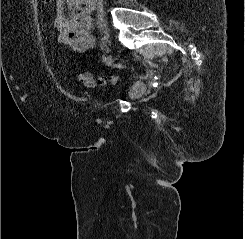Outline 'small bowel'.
<instances>
[{
  "instance_id": "1",
  "label": "small bowel",
  "mask_w": 245,
  "mask_h": 239,
  "mask_svg": "<svg viewBox=\"0 0 245 239\" xmlns=\"http://www.w3.org/2000/svg\"><path fill=\"white\" fill-rule=\"evenodd\" d=\"M98 0H56L54 26L58 42L75 52H85L95 46L92 35V13Z\"/></svg>"
}]
</instances>
